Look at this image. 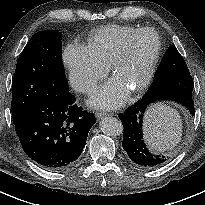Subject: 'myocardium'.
I'll return each instance as SVG.
<instances>
[{"mask_svg":"<svg viewBox=\"0 0 205 205\" xmlns=\"http://www.w3.org/2000/svg\"><path fill=\"white\" fill-rule=\"evenodd\" d=\"M143 33L154 34L156 37V40H157V46H156V50H155L152 58L150 59V61L148 63L144 78L142 79V81L138 85H136L130 89V91L134 92V93H138V92L145 90L150 85V83L153 79L155 69H156V66H157V63L159 61L161 51H162V42H161V38H160L159 34L154 29L148 28V27L140 28V29L136 30L134 33H132L131 35H129L125 39L121 49L114 56V58L110 64V69H111L112 75L115 76L120 65L129 56L132 42Z\"/></svg>","mask_w":205,"mask_h":205,"instance_id":"myocardium-1","label":"myocardium"}]
</instances>
